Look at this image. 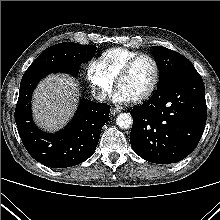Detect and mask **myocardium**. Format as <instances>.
<instances>
[{"label":"myocardium","instance_id":"obj_1","mask_svg":"<svg viewBox=\"0 0 220 220\" xmlns=\"http://www.w3.org/2000/svg\"><path fill=\"white\" fill-rule=\"evenodd\" d=\"M141 58H147L152 62L154 66V77L150 87L142 95L133 100V102L135 103H141L149 99L155 92L160 80V65L157 59L154 56L147 53H138L126 62V64L122 67V69L115 78V83L118 87L120 81L131 71L135 63Z\"/></svg>","mask_w":220,"mask_h":220}]
</instances>
